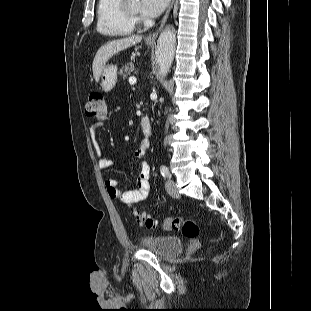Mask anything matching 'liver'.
I'll return each instance as SVG.
<instances>
[{
    "instance_id": "6515ba94",
    "label": "liver",
    "mask_w": 311,
    "mask_h": 311,
    "mask_svg": "<svg viewBox=\"0 0 311 311\" xmlns=\"http://www.w3.org/2000/svg\"><path fill=\"white\" fill-rule=\"evenodd\" d=\"M141 40H142V36L132 35L130 37H125L122 39L111 41L103 45L102 47H100V49L97 51L94 57L93 64H92L93 77L95 81L96 82L99 81L100 75L106 65V62L111 57H113V55L139 43Z\"/></svg>"
}]
</instances>
